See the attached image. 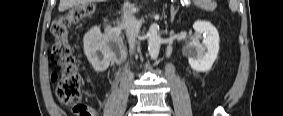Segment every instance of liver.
<instances>
[{"label":"liver","instance_id":"liver-1","mask_svg":"<svg viewBox=\"0 0 283 116\" xmlns=\"http://www.w3.org/2000/svg\"><path fill=\"white\" fill-rule=\"evenodd\" d=\"M81 0H60L58 10L64 12L65 10L79 4Z\"/></svg>","mask_w":283,"mask_h":116}]
</instances>
